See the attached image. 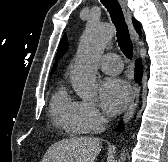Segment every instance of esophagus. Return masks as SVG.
<instances>
[{
    "label": "esophagus",
    "instance_id": "esophagus-1",
    "mask_svg": "<svg viewBox=\"0 0 168 162\" xmlns=\"http://www.w3.org/2000/svg\"><path fill=\"white\" fill-rule=\"evenodd\" d=\"M118 1L122 7L124 17H125L126 22L128 24L131 38L135 43H137L139 36L133 27V24L131 21V13L127 7L126 0H118ZM138 51H139V48L137 47V53H138ZM139 96H140V87L138 84H135L133 87V94H132L131 103L123 116V122L125 124L128 123L130 121V119L133 117L135 110L137 108L138 102H139Z\"/></svg>",
    "mask_w": 168,
    "mask_h": 162
}]
</instances>
